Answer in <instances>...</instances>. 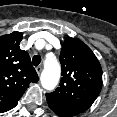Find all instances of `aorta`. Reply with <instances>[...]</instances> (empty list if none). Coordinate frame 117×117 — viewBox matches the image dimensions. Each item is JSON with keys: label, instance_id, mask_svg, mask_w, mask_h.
I'll use <instances>...</instances> for the list:
<instances>
[{"label": "aorta", "instance_id": "obj_1", "mask_svg": "<svg viewBox=\"0 0 117 117\" xmlns=\"http://www.w3.org/2000/svg\"><path fill=\"white\" fill-rule=\"evenodd\" d=\"M60 64L55 58H46L44 70L41 74V84L46 90H53L60 79Z\"/></svg>", "mask_w": 117, "mask_h": 117}]
</instances>
